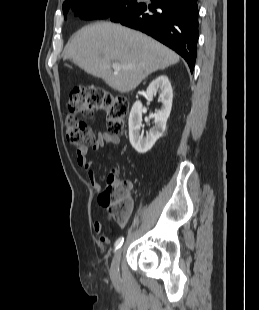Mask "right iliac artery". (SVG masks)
Returning a JSON list of instances; mask_svg holds the SVG:
<instances>
[{"label":"right iliac artery","mask_w":259,"mask_h":310,"mask_svg":"<svg viewBox=\"0 0 259 310\" xmlns=\"http://www.w3.org/2000/svg\"><path fill=\"white\" fill-rule=\"evenodd\" d=\"M123 241H124V238L123 237H119L117 239V241L115 242V249L120 248L122 246V244H123Z\"/></svg>","instance_id":"82829eb1"}]
</instances>
